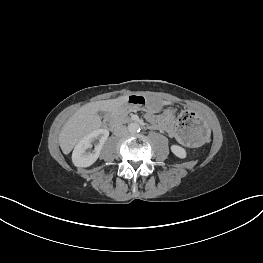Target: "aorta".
Segmentation results:
<instances>
[{
    "label": "aorta",
    "mask_w": 263,
    "mask_h": 263,
    "mask_svg": "<svg viewBox=\"0 0 263 263\" xmlns=\"http://www.w3.org/2000/svg\"><path fill=\"white\" fill-rule=\"evenodd\" d=\"M128 131H129L130 133H132V134L139 132V131H140V126H139V124H138V123H135V122L130 123V124L128 125Z\"/></svg>",
    "instance_id": "aorta-1"
}]
</instances>
